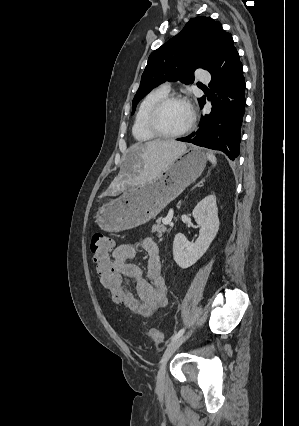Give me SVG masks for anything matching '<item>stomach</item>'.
<instances>
[{
    "mask_svg": "<svg viewBox=\"0 0 299 426\" xmlns=\"http://www.w3.org/2000/svg\"><path fill=\"white\" fill-rule=\"evenodd\" d=\"M205 165L206 156L200 149H186L157 179L133 186L117 199L103 204L95 222L108 232L128 230L148 222L194 182Z\"/></svg>",
    "mask_w": 299,
    "mask_h": 426,
    "instance_id": "obj_1",
    "label": "stomach"
}]
</instances>
